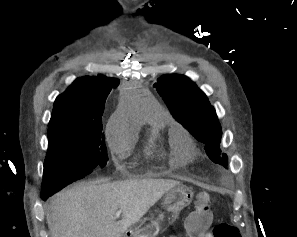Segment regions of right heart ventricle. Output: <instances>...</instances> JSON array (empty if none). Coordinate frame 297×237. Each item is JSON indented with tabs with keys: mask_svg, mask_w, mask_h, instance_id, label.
<instances>
[{
	"mask_svg": "<svg viewBox=\"0 0 297 237\" xmlns=\"http://www.w3.org/2000/svg\"><path fill=\"white\" fill-rule=\"evenodd\" d=\"M164 146L158 142L154 136H151L146 144L145 153L147 156L162 158L164 156Z\"/></svg>",
	"mask_w": 297,
	"mask_h": 237,
	"instance_id": "right-heart-ventricle-1",
	"label": "right heart ventricle"
}]
</instances>
